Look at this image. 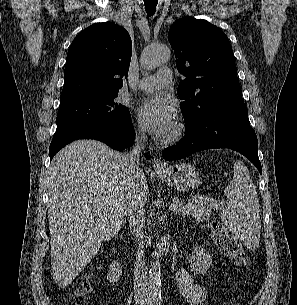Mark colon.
Here are the masks:
<instances>
[{"instance_id": "colon-1", "label": "colon", "mask_w": 297, "mask_h": 305, "mask_svg": "<svg viewBox=\"0 0 297 305\" xmlns=\"http://www.w3.org/2000/svg\"><path fill=\"white\" fill-rule=\"evenodd\" d=\"M210 230L214 244L223 255L236 265L247 266L249 264V257L241 243L221 222L212 221ZM92 292L93 287L88 278L78 280L74 286V293L69 300V305H86V300Z\"/></svg>"}]
</instances>
